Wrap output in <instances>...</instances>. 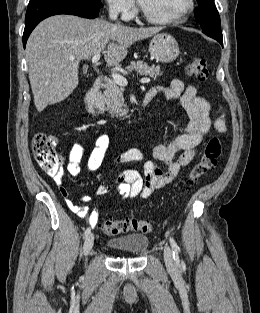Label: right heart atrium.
<instances>
[{"mask_svg": "<svg viewBox=\"0 0 260 313\" xmlns=\"http://www.w3.org/2000/svg\"><path fill=\"white\" fill-rule=\"evenodd\" d=\"M108 11L123 19L131 16L134 10V4L132 0H105Z\"/></svg>", "mask_w": 260, "mask_h": 313, "instance_id": "right-heart-atrium-1", "label": "right heart atrium"}]
</instances>
